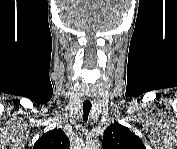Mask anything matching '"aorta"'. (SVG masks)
Here are the masks:
<instances>
[{"label": "aorta", "mask_w": 177, "mask_h": 149, "mask_svg": "<svg viewBox=\"0 0 177 149\" xmlns=\"http://www.w3.org/2000/svg\"><path fill=\"white\" fill-rule=\"evenodd\" d=\"M100 145L97 143H91L89 145H86V149H99Z\"/></svg>", "instance_id": "762f6f07"}]
</instances>
